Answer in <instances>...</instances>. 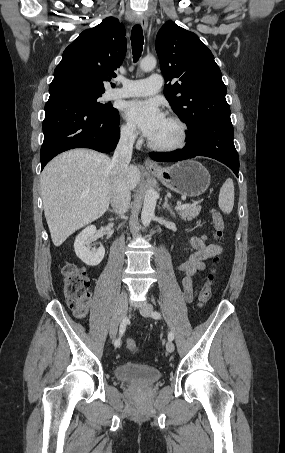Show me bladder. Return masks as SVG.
Wrapping results in <instances>:
<instances>
[{
	"label": "bladder",
	"mask_w": 285,
	"mask_h": 453,
	"mask_svg": "<svg viewBox=\"0 0 285 453\" xmlns=\"http://www.w3.org/2000/svg\"><path fill=\"white\" fill-rule=\"evenodd\" d=\"M115 376L121 381L147 385L158 381L161 373L155 367L128 362L115 368Z\"/></svg>",
	"instance_id": "obj_1"
}]
</instances>
